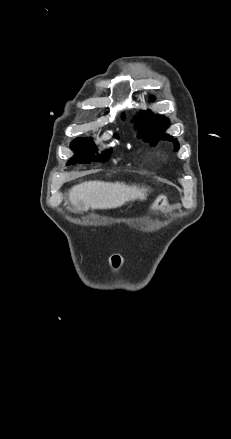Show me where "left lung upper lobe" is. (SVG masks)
I'll list each match as a JSON object with an SVG mask.
<instances>
[{
  "mask_svg": "<svg viewBox=\"0 0 231 439\" xmlns=\"http://www.w3.org/2000/svg\"><path fill=\"white\" fill-rule=\"evenodd\" d=\"M136 123L137 126H142L144 139L149 141L151 145H156L158 140H168L175 145L174 151H178L179 144L177 140L164 132L169 127V120L167 118L153 115L150 111H146L140 114Z\"/></svg>",
  "mask_w": 231,
  "mask_h": 439,
  "instance_id": "left-lung-upper-lobe-1",
  "label": "left lung upper lobe"
}]
</instances>
